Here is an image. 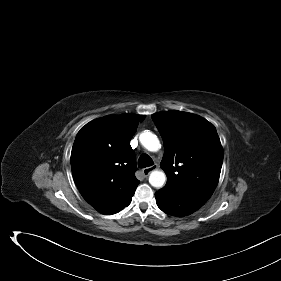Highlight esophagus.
Listing matches in <instances>:
<instances>
[{"label": "esophagus", "mask_w": 281, "mask_h": 281, "mask_svg": "<svg viewBox=\"0 0 281 281\" xmlns=\"http://www.w3.org/2000/svg\"><path fill=\"white\" fill-rule=\"evenodd\" d=\"M157 169V165H153V166H150V167H146L142 170L143 174L145 176H148L152 171L156 170Z\"/></svg>", "instance_id": "34e87169"}]
</instances>
